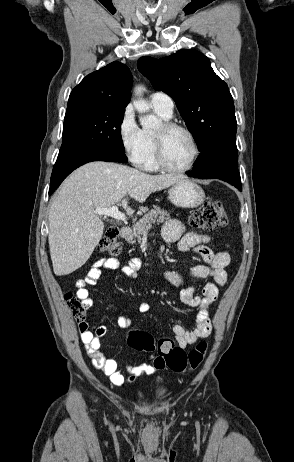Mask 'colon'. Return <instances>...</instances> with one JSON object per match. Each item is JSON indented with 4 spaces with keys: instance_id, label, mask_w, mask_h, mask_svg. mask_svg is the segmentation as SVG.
Here are the masks:
<instances>
[{
    "instance_id": "colon-1",
    "label": "colon",
    "mask_w": 294,
    "mask_h": 462,
    "mask_svg": "<svg viewBox=\"0 0 294 462\" xmlns=\"http://www.w3.org/2000/svg\"><path fill=\"white\" fill-rule=\"evenodd\" d=\"M226 224L227 217L219 201L205 202L192 214L190 219V226L194 234L212 231ZM117 236L118 229L116 227L108 228L100 241L99 251L112 256L118 255L121 246L117 241ZM65 300L74 319L79 323L83 322L85 307L82 301L71 293L65 295ZM128 344L138 351H156L157 354L152 358L153 365L160 370L168 368L175 372H185L197 368L203 361L207 349V344L200 342L195 348L185 352L170 339H161L155 342L150 334L139 330L130 332Z\"/></svg>"
}]
</instances>
